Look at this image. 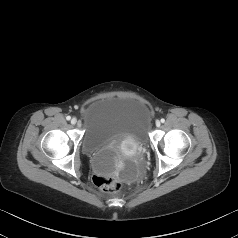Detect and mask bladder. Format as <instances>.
I'll return each instance as SVG.
<instances>
[{
  "label": "bladder",
  "mask_w": 238,
  "mask_h": 238,
  "mask_svg": "<svg viewBox=\"0 0 238 238\" xmlns=\"http://www.w3.org/2000/svg\"><path fill=\"white\" fill-rule=\"evenodd\" d=\"M82 150L101 174L116 170V147L123 142L145 146L150 124L149 106L133 96L109 95L89 102L81 114Z\"/></svg>",
  "instance_id": "31cf9c89"
}]
</instances>
